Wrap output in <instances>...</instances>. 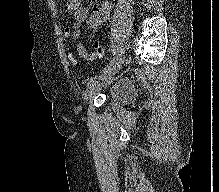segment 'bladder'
I'll list each match as a JSON object with an SVG mask.
<instances>
[{"instance_id": "obj_1", "label": "bladder", "mask_w": 219, "mask_h": 192, "mask_svg": "<svg viewBox=\"0 0 219 192\" xmlns=\"http://www.w3.org/2000/svg\"><path fill=\"white\" fill-rule=\"evenodd\" d=\"M133 95V89L130 84H119L113 87L109 92L111 103H123Z\"/></svg>"}]
</instances>
